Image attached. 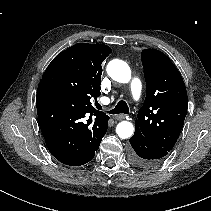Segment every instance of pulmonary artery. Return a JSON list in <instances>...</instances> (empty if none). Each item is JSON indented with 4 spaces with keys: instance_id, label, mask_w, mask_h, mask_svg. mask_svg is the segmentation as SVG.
I'll return each mask as SVG.
<instances>
[{
    "instance_id": "1",
    "label": "pulmonary artery",
    "mask_w": 211,
    "mask_h": 211,
    "mask_svg": "<svg viewBox=\"0 0 211 211\" xmlns=\"http://www.w3.org/2000/svg\"><path fill=\"white\" fill-rule=\"evenodd\" d=\"M130 89L135 100H138L141 96L142 85L139 79L133 78L130 82ZM105 101V100H104Z\"/></svg>"
}]
</instances>
